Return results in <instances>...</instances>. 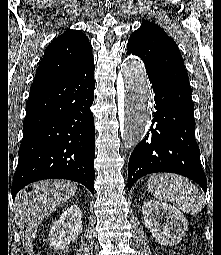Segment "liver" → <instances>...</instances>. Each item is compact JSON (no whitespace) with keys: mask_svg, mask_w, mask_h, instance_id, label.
<instances>
[{"mask_svg":"<svg viewBox=\"0 0 221 255\" xmlns=\"http://www.w3.org/2000/svg\"><path fill=\"white\" fill-rule=\"evenodd\" d=\"M77 185L68 180H42L30 184L16 196L12 211L25 252L31 253L41 221L75 195Z\"/></svg>","mask_w":221,"mask_h":255,"instance_id":"obj_1","label":"liver"}]
</instances>
